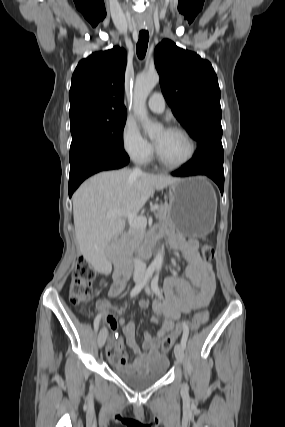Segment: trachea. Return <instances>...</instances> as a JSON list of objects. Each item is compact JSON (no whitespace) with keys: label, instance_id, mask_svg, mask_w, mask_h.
I'll list each match as a JSON object with an SVG mask.
<instances>
[{"label":"trachea","instance_id":"trachea-1","mask_svg":"<svg viewBox=\"0 0 285 427\" xmlns=\"http://www.w3.org/2000/svg\"><path fill=\"white\" fill-rule=\"evenodd\" d=\"M149 41V33L148 31H140L139 32V40L136 45V53L140 59H143L146 55L147 47Z\"/></svg>","mask_w":285,"mask_h":427}]
</instances>
